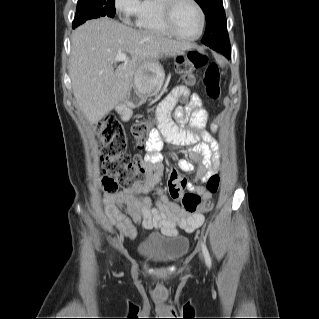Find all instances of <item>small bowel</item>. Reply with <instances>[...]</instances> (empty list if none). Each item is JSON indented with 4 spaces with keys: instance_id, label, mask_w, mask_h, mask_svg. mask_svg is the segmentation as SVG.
Returning <instances> with one entry per match:
<instances>
[{
    "instance_id": "c3829d8e",
    "label": "small bowel",
    "mask_w": 319,
    "mask_h": 319,
    "mask_svg": "<svg viewBox=\"0 0 319 319\" xmlns=\"http://www.w3.org/2000/svg\"><path fill=\"white\" fill-rule=\"evenodd\" d=\"M180 97L188 98L189 102L184 107L176 108V117L182 123L189 121L188 127H177L170 118V113ZM156 117L158 126L148 136L147 154L144 157L148 174L142 181H138L116 194L107 196L103 201L105 214L110 223L130 239L136 238L137 230L131 220L120 211L122 206L143 229H158L166 236L175 235L178 227L186 232H192L205 222L203 212L186 211L178 203L169 200L163 188L159 185L164 167L158 151L162 148L163 142L191 147L189 151L190 159H181L177 163V169L185 173H192L194 170L192 161L200 164L194 178L196 183L194 189L205 199H210L205 184L211 176L216 174V167L220 161L218 143L212 134L205 129L208 113L202 107V99L197 93H191L187 86L176 87L159 104ZM211 128L212 131H215L217 124L213 123ZM154 143H158L160 149H156ZM212 166L214 168H211ZM172 169L174 170L175 167H172ZM151 192H154L157 196L154 205L148 198V194Z\"/></svg>"
}]
</instances>
